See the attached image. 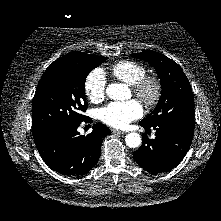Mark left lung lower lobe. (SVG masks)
<instances>
[{"label":"left lung lower lobe","mask_w":221,"mask_h":221,"mask_svg":"<svg viewBox=\"0 0 221 221\" xmlns=\"http://www.w3.org/2000/svg\"><path fill=\"white\" fill-rule=\"evenodd\" d=\"M140 125L146 131L153 128L156 137L143 138L141 147L133 153L137 164L152 174L168 172L176 167L191 145L194 130L174 124Z\"/></svg>","instance_id":"0a47b994"}]
</instances>
